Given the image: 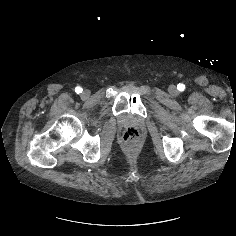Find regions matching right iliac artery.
Here are the masks:
<instances>
[{"mask_svg":"<svg viewBox=\"0 0 236 236\" xmlns=\"http://www.w3.org/2000/svg\"><path fill=\"white\" fill-rule=\"evenodd\" d=\"M82 91H83V89H82L80 86H77V87L75 88V92H76L77 94L82 93Z\"/></svg>","mask_w":236,"mask_h":236,"instance_id":"1","label":"right iliac artery"}]
</instances>
